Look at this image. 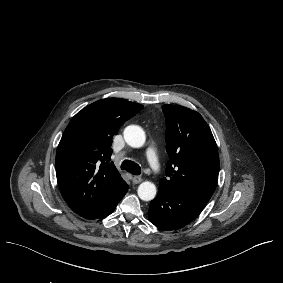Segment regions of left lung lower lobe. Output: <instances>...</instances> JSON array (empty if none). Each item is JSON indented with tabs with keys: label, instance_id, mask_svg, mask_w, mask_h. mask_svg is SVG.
<instances>
[{
	"label": "left lung lower lobe",
	"instance_id": "left-lung-lower-lobe-1",
	"mask_svg": "<svg viewBox=\"0 0 283 283\" xmlns=\"http://www.w3.org/2000/svg\"><path fill=\"white\" fill-rule=\"evenodd\" d=\"M207 203L159 188L149 206V220L160 229H179L193 221Z\"/></svg>",
	"mask_w": 283,
	"mask_h": 283
}]
</instances>
